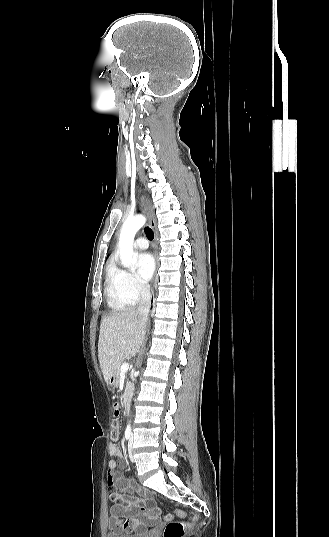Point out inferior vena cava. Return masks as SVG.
Instances as JSON below:
<instances>
[{"label": "inferior vena cava", "mask_w": 329, "mask_h": 537, "mask_svg": "<svg viewBox=\"0 0 329 537\" xmlns=\"http://www.w3.org/2000/svg\"><path fill=\"white\" fill-rule=\"evenodd\" d=\"M151 305V293L149 285L141 286V300L137 309V312L143 316V319L146 320Z\"/></svg>", "instance_id": "inferior-vena-cava-1"}]
</instances>
